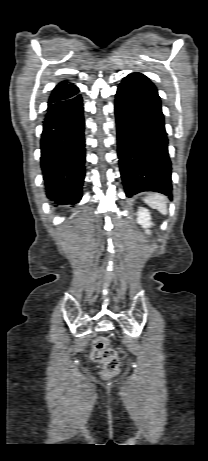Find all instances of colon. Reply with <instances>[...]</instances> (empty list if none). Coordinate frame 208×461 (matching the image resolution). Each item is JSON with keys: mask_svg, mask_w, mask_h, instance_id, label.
<instances>
[{"mask_svg": "<svg viewBox=\"0 0 208 461\" xmlns=\"http://www.w3.org/2000/svg\"><path fill=\"white\" fill-rule=\"evenodd\" d=\"M109 339L101 336L94 340L92 358L103 364L101 375L103 378H110L114 376L120 366V359L114 349L108 347Z\"/></svg>", "mask_w": 208, "mask_h": 461, "instance_id": "1", "label": "colon"}]
</instances>
